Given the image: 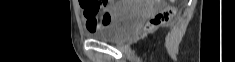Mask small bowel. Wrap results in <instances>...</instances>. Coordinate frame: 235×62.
Listing matches in <instances>:
<instances>
[{
    "mask_svg": "<svg viewBox=\"0 0 235 62\" xmlns=\"http://www.w3.org/2000/svg\"><path fill=\"white\" fill-rule=\"evenodd\" d=\"M88 3L90 1H81L80 5L84 10V18L86 22V28L88 31L95 30L99 28L101 25H104L108 21L111 20L112 15L107 13V21L104 18H99L97 15H90L88 14ZM107 8L111 13H115L120 10L124 5L125 2L114 3L113 1H107Z\"/></svg>",
    "mask_w": 235,
    "mask_h": 62,
    "instance_id": "1",
    "label": "small bowel"
}]
</instances>
